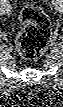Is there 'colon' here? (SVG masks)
<instances>
[{
    "label": "colon",
    "mask_w": 63,
    "mask_h": 107,
    "mask_svg": "<svg viewBox=\"0 0 63 107\" xmlns=\"http://www.w3.org/2000/svg\"><path fill=\"white\" fill-rule=\"evenodd\" d=\"M20 21L18 51L26 59H36L44 53L50 39L49 19L36 4H28L20 13Z\"/></svg>",
    "instance_id": "obj_1"
}]
</instances>
